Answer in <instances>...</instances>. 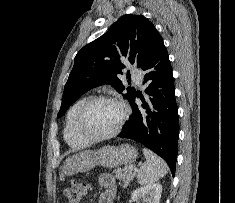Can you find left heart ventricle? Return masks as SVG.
<instances>
[{"instance_id": "left-heart-ventricle-1", "label": "left heart ventricle", "mask_w": 235, "mask_h": 203, "mask_svg": "<svg viewBox=\"0 0 235 203\" xmlns=\"http://www.w3.org/2000/svg\"><path fill=\"white\" fill-rule=\"evenodd\" d=\"M122 115L121 107L110 101L95 103L86 113L82 129L91 135H103L112 131Z\"/></svg>"}]
</instances>
